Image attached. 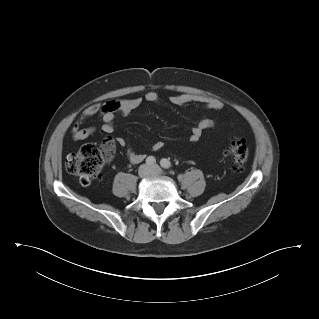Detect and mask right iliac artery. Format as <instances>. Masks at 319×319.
<instances>
[{
	"instance_id": "obj_1",
	"label": "right iliac artery",
	"mask_w": 319,
	"mask_h": 319,
	"mask_svg": "<svg viewBox=\"0 0 319 319\" xmlns=\"http://www.w3.org/2000/svg\"><path fill=\"white\" fill-rule=\"evenodd\" d=\"M155 162H156V160H155V158H154L153 156H149V157L146 159V163H147L148 165H153V164H155Z\"/></svg>"
}]
</instances>
